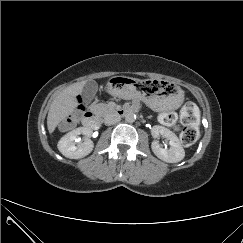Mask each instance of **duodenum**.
<instances>
[{
  "label": "duodenum",
  "mask_w": 243,
  "mask_h": 243,
  "mask_svg": "<svg viewBox=\"0 0 243 243\" xmlns=\"http://www.w3.org/2000/svg\"><path fill=\"white\" fill-rule=\"evenodd\" d=\"M132 111L129 107L115 108L111 112L118 115L124 116ZM83 124L90 129H97L100 125V115L98 112L89 110L84 114Z\"/></svg>",
  "instance_id": "410a0bca"
}]
</instances>
